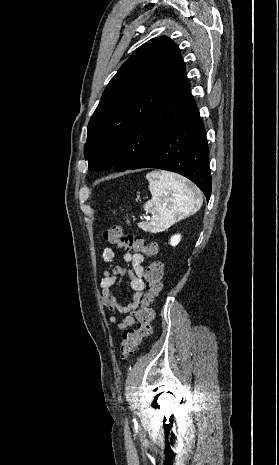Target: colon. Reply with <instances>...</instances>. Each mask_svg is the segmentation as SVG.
Listing matches in <instances>:
<instances>
[{"mask_svg": "<svg viewBox=\"0 0 279 465\" xmlns=\"http://www.w3.org/2000/svg\"><path fill=\"white\" fill-rule=\"evenodd\" d=\"M103 236L106 241L112 244L133 252L143 253L150 258H154L158 253L157 244L146 243L143 237L139 235L123 233L122 227L118 224L105 230ZM162 278L163 264L159 260L154 259L149 263L144 272L146 291L138 297V325L135 329H126L122 334L120 356L123 360L129 359L135 353L142 339L149 336L152 332V304L162 289Z\"/></svg>", "mask_w": 279, "mask_h": 465, "instance_id": "obj_1", "label": "colon"}]
</instances>
